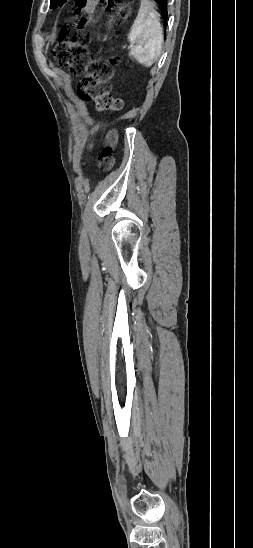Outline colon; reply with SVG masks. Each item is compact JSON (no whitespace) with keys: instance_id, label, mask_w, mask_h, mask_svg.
Segmentation results:
<instances>
[{"instance_id":"1","label":"colon","mask_w":253,"mask_h":548,"mask_svg":"<svg viewBox=\"0 0 253 548\" xmlns=\"http://www.w3.org/2000/svg\"><path fill=\"white\" fill-rule=\"evenodd\" d=\"M75 20L79 28L85 27L97 7L101 5L119 6L120 14L129 13L128 0H75ZM89 38L69 27H64L59 34L53 50L58 64L71 73L82 75L77 92L81 99L93 101L98 110H120L123 101L112 95L111 79L113 76L112 60L93 59L88 51ZM117 143V134L111 131L106 138V146L98 157L102 170H109L114 163L113 150Z\"/></svg>"}]
</instances>
